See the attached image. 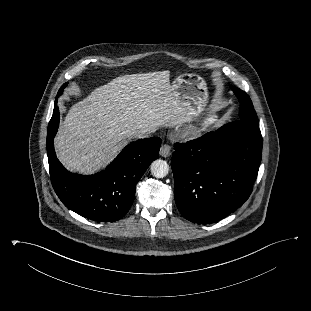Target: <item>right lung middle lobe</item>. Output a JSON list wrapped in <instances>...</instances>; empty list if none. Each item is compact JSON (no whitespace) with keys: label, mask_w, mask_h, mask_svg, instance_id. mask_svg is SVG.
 <instances>
[{"label":"right lung middle lobe","mask_w":311,"mask_h":311,"mask_svg":"<svg viewBox=\"0 0 311 311\" xmlns=\"http://www.w3.org/2000/svg\"><path fill=\"white\" fill-rule=\"evenodd\" d=\"M67 84H68V83H65V84L63 85V87L60 88V90H59V92H58V94H57V97H56V101H57L58 96H60V95L63 93V88H65V87L67 86Z\"/></svg>","instance_id":"1"}]
</instances>
